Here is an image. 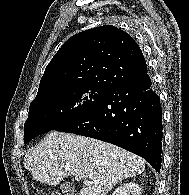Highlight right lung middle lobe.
Here are the masks:
<instances>
[{"label":"right lung middle lobe","instance_id":"dd1d6c3e","mask_svg":"<svg viewBox=\"0 0 189 195\" xmlns=\"http://www.w3.org/2000/svg\"><path fill=\"white\" fill-rule=\"evenodd\" d=\"M108 91L102 87H73L35 98L30 104L29 116L24 125V143L77 119Z\"/></svg>","mask_w":189,"mask_h":195}]
</instances>
